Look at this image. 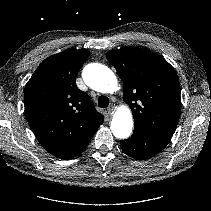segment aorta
<instances>
[{"label":"aorta","instance_id":"obj_1","mask_svg":"<svg viewBox=\"0 0 211 211\" xmlns=\"http://www.w3.org/2000/svg\"><path fill=\"white\" fill-rule=\"evenodd\" d=\"M85 83L92 89L102 93H112L117 87L115 74L106 66L99 63L87 65L82 73ZM133 128V118L128 107L119 108L111 121V131L119 139L130 136Z\"/></svg>","mask_w":211,"mask_h":211}]
</instances>
